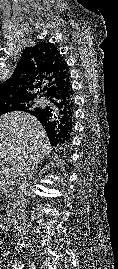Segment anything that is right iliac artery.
Wrapping results in <instances>:
<instances>
[{
  "mask_svg": "<svg viewBox=\"0 0 118 269\" xmlns=\"http://www.w3.org/2000/svg\"><path fill=\"white\" fill-rule=\"evenodd\" d=\"M23 264L21 262H16L14 269H22Z\"/></svg>",
  "mask_w": 118,
  "mask_h": 269,
  "instance_id": "1",
  "label": "right iliac artery"
}]
</instances>
